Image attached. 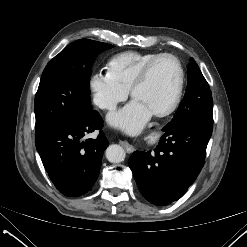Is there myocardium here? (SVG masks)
I'll list each match as a JSON object with an SVG mask.
<instances>
[{
    "instance_id": "obj_1",
    "label": "myocardium",
    "mask_w": 247,
    "mask_h": 247,
    "mask_svg": "<svg viewBox=\"0 0 247 247\" xmlns=\"http://www.w3.org/2000/svg\"><path fill=\"white\" fill-rule=\"evenodd\" d=\"M163 58H170L176 63L178 69V80L174 94L169 103L162 109L152 111V114L158 117H163L172 113L181 100L184 84V70L180 60L175 55L170 53L158 54L144 65V67L140 70L130 87L131 97L134 98L136 90L146 81L153 66Z\"/></svg>"
}]
</instances>
